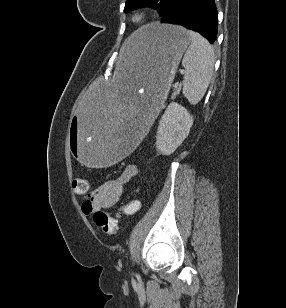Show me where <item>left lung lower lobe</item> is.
I'll return each mask as SVG.
<instances>
[{
  "label": "left lung lower lobe",
  "mask_w": 286,
  "mask_h": 308,
  "mask_svg": "<svg viewBox=\"0 0 286 308\" xmlns=\"http://www.w3.org/2000/svg\"><path fill=\"white\" fill-rule=\"evenodd\" d=\"M161 23L178 24L194 30L210 43L217 39V9L214 0H172Z\"/></svg>",
  "instance_id": "1"
}]
</instances>
